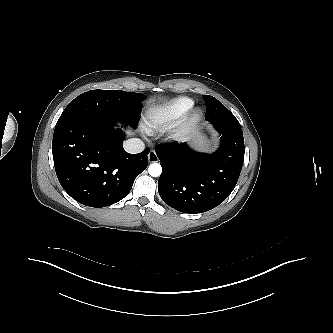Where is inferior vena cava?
Wrapping results in <instances>:
<instances>
[{
  "label": "inferior vena cava",
  "mask_w": 333,
  "mask_h": 333,
  "mask_svg": "<svg viewBox=\"0 0 333 333\" xmlns=\"http://www.w3.org/2000/svg\"><path fill=\"white\" fill-rule=\"evenodd\" d=\"M123 147L126 152L131 154L140 153L144 150V142L137 138H131L124 142Z\"/></svg>",
  "instance_id": "inferior-vena-cava-1"
}]
</instances>
